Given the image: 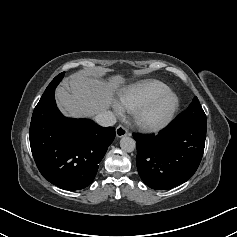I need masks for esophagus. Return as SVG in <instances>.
I'll return each instance as SVG.
<instances>
[{"instance_id": "obj_1", "label": "esophagus", "mask_w": 237, "mask_h": 237, "mask_svg": "<svg viewBox=\"0 0 237 237\" xmlns=\"http://www.w3.org/2000/svg\"><path fill=\"white\" fill-rule=\"evenodd\" d=\"M128 134V130L126 127L122 126V125H119L117 128H116V136L118 138H121L123 136H126Z\"/></svg>"}]
</instances>
